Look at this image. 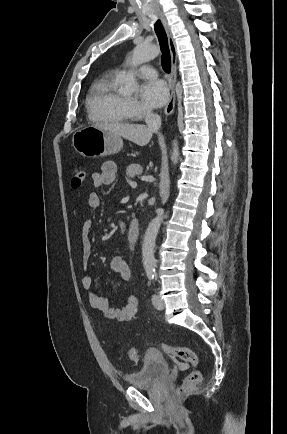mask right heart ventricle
Returning a JSON list of instances; mask_svg holds the SVG:
<instances>
[{"instance_id":"e07e8e85","label":"right heart ventricle","mask_w":287,"mask_h":434,"mask_svg":"<svg viewBox=\"0 0 287 434\" xmlns=\"http://www.w3.org/2000/svg\"><path fill=\"white\" fill-rule=\"evenodd\" d=\"M120 75L118 71L106 72L91 85L86 107L92 121L124 123L130 120L126 99L118 91Z\"/></svg>"}]
</instances>
